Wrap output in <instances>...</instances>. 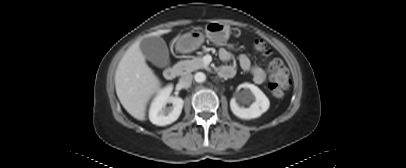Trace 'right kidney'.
I'll list each match as a JSON object with an SVG mask.
<instances>
[{"mask_svg": "<svg viewBox=\"0 0 406 168\" xmlns=\"http://www.w3.org/2000/svg\"><path fill=\"white\" fill-rule=\"evenodd\" d=\"M172 85L161 90L154 98L150 110L149 119L157 126H165L175 122L182 111L184 101L180 97H171ZM172 103V107L167 108L166 104Z\"/></svg>", "mask_w": 406, "mask_h": 168, "instance_id": "right-kidney-1", "label": "right kidney"}]
</instances>
